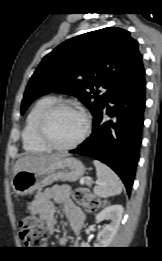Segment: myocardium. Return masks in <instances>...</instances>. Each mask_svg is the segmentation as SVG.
Here are the masks:
<instances>
[{"label":"myocardium","instance_id":"f54148a6","mask_svg":"<svg viewBox=\"0 0 162 261\" xmlns=\"http://www.w3.org/2000/svg\"><path fill=\"white\" fill-rule=\"evenodd\" d=\"M62 109H69L78 112L84 120V128L80 136L73 142L65 145L54 143L48 134L47 126L50 118L54 113ZM91 129V119L88 113L81 107L69 101H57L46 108L41 114L37 123V137L40 143L49 150L53 151H66L73 149L80 145L89 135Z\"/></svg>","mask_w":162,"mask_h":261}]
</instances>
